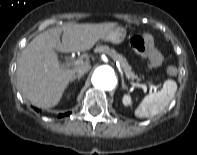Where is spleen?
<instances>
[{
	"label": "spleen",
	"mask_w": 197,
	"mask_h": 155,
	"mask_svg": "<svg viewBox=\"0 0 197 155\" xmlns=\"http://www.w3.org/2000/svg\"><path fill=\"white\" fill-rule=\"evenodd\" d=\"M176 91V82L171 79L166 80L160 91L157 93H150L144 97L135 110V116L139 118H149L159 114L174 98Z\"/></svg>",
	"instance_id": "spleen-1"
}]
</instances>
